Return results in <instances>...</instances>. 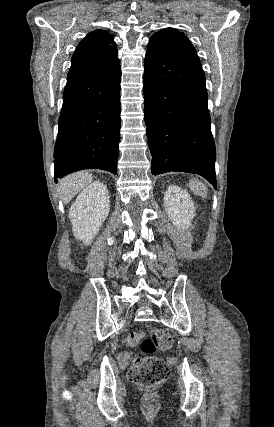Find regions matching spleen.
Returning <instances> with one entry per match:
<instances>
[{
    "label": "spleen",
    "instance_id": "1",
    "mask_svg": "<svg viewBox=\"0 0 274 427\" xmlns=\"http://www.w3.org/2000/svg\"><path fill=\"white\" fill-rule=\"evenodd\" d=\"M190 190L191 192H194V194L202 196V198H206L207 196V190L204 188V184H201V182H198V180H191Z\"/></svg>",
    "mask_w": 274,
    "mask_h": 427
}]
</instances>
